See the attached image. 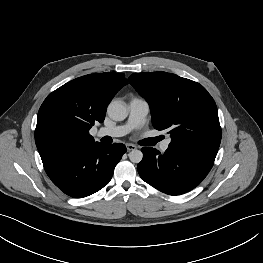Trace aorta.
Here are the masks:
<instances>
[{
  "mask_svg": "<svg viewBox=\"0 0 263 263\" xmlns=\"http://www.w3.org/2000/svg\"><path fill=\"white\" fill-rule=\"evenodd\" d=\"M107 113L115 121H123L128 116L127 107L119 100H113L109 103ZM142 158L143 153L140 150L134 149L129 153V159L133 163H139Z\"/></svg>",
  "mask_w": 263,
  "mask_h": 263,
  "instance_id": "762f6f07",
  "label": "aorta"
}]
</instances>
